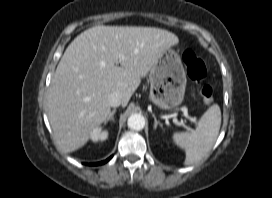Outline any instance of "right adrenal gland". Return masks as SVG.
I'll list each match as a JSON object with an SVG mask.
<instances>
[{
  "label": "right adrenal gland",
  "instance_id": "1",
  "mask_svg": "<svg viewBox=\"0 0 272 198\" xmlns=\"http://www.w3.org/2000/svg\"><path fill=\"white\" fill-rule=\"evenodd\" d=\"M115 113H116V109H113V110L110 112V115H109V117L107 118L106 123L109 122V121L114 122V114H115Z\"/></svg>",
  "mask_w": 272,
  "mask_h": 198
}]
</instances>
